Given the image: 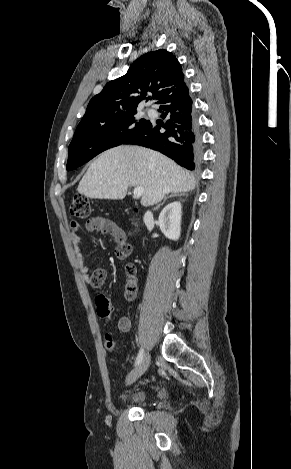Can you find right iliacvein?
Here are the masks:
<instances>
[{"label":"right iliac vein","instance_id":"right-iliac-vein-1","mask_svg":"<svg viewBox=\"0 0 291 469\" xmlns=\"http://www.w3.org/2000/svg\"><path fill=\"white\" fill-rule=\"evenodd\" d=\"M149 364H150V354L147 352L143 356L138 366L128 374L126 378L127 385L134 383L138 378H140L149 367Z\"/></svg>","mask_w":291,"mask_h":469}]
</instances>
